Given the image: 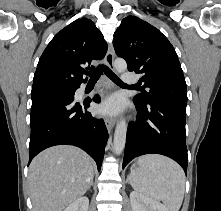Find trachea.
Masks as SVG:
<instances>
[{"label":"trachea","mask_w":221,"mask_h":211,"mask_svg":"<svg viewBox=\"0 0 221 211\" xmlns=\"http://www.w3.org/2000/svg\"><path fill=\"white\" fill-rule=\"evenodd\" d=\"M103 71L117 85L128 86L127 84L122 82V80L116 74H114L108 67L104 65H100L95 70L86 73L88 76H90L89 82H96Z\"/></svg>","instance_id":"obj_1"}]
</instances>
